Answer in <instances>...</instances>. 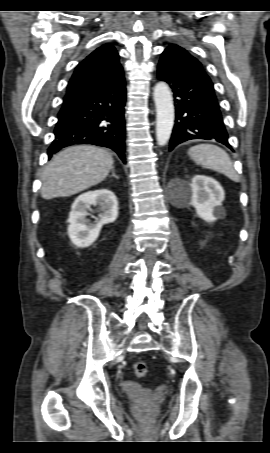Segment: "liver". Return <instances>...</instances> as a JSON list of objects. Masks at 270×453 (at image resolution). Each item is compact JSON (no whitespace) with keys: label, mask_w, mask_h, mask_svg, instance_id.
I'll return each mask as SVG.
<instances>
[{"label":"liver","mask_w":270,"mask_h":453,"mask_svg":"<svg viewBox=\"0 0 270 453\" xmlns=\"http://www.w3.org/2000/svg\"><path fill=\"white\" fill-rule=\"evenodd\" d=\"M113 163L111 154L96 146L66 148L43 170L41 196L49 200L79 193L103 181L113 169Z\"/></svg>","instance_id":"liver-1"}]
</instances>
